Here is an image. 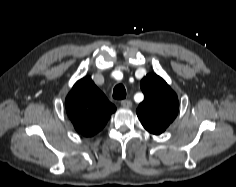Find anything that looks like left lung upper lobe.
Wrapping results in <instances>:
<instances>
[{"instance_id":"left-lung-upper-lobe-1","label":"left lung upper lobe","mask_w":236,"mask_h":187,"mask_svg":"<svg viewBox=\"0 0 236 187\" xmlns=\"http://www.w3.org/2000/svg\"><path fill=\"white\" fill-rule=\"evenodd\" d=\"M145 99L136 113L143 127L154 135H159L176 118L179 102L176 93L158 75L148 74L140 83Z\"/></svg>"}]
</instances>
